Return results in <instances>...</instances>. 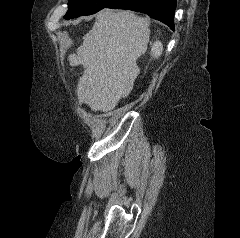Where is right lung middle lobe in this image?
<instances>
[{
  "label": "right lung middle lobe",
  "mask_w": 240,
  "mask_h": 238,
  "mask_svg": "<svg viewBox=\"0 0 240 238\" xmlns=\"http://www.w3.org/2000/svg\"><path fill=\"white\" fill-rule=\"evenodd\" d=\"M116 0H70L64 18L71 19L91 15L103 8H108Z\"/></svg>",
  "instance_id": "obj_1"
}]
</instances>
